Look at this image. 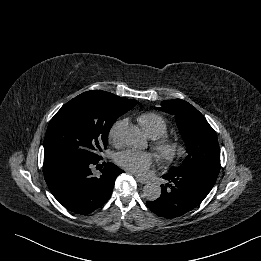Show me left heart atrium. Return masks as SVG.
<instances>
[{
    "label": "left heart atrium",
    "instance_id": "1",
    "mask_svg": "<svg viewBox=\"0 0 261 261\" xmlns=\"http://www.w3.org/2000/svg\"><path fill=\"white\" fill-rule=\"evenodd\" d=\"M155 157L150 152H138L132 149L121 151L116 156V162L127 171L137 175L144 174L153 164Z\"/></svg>",
    "mask_w": 261,
    "mask_h": 261
}]
</instances>
